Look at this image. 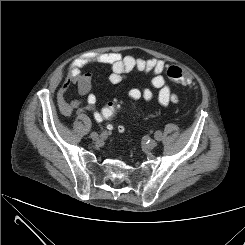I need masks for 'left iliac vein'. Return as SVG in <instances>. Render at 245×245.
I'll return each instance as SVG.
<instances>
[{
	"mask_svg": "<svg viewBox=\"0 0 245 245\" xmlns=\"http://www.w3.org/2000/svg\"><path fill=\"white\" fill-rule=\"evenodd\" d=\"M157 146V142L154 139H151L148 143L149 149H154Z\"/></svg>",
	"mask_w": 245,
	"mask_h": 245,
	"instance_id": "obj_1",
	"label": "left iliac vein"
}]
</instances>
